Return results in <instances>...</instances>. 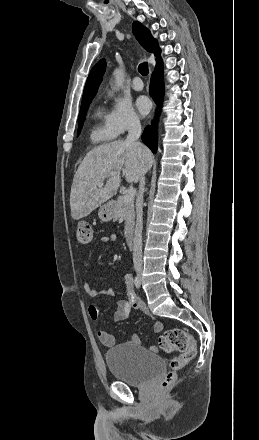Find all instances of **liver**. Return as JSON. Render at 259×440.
I'll return each instance as SVG.
<instances>
[{
	"instance_id": "obj_1",
	"label": "liver",
	"mask_w": 259,
	"mask_h": 440,
	"mask_svg": "<svg viewBox=\"0 0 259 440\" xmlns=\"http://www.w3.org/2000/svg\"><path fill=\"white\" fill-rule=\"evenodd\" d=\"M149 149L143 153L132 143L113 141L92 149L79 165L70 193L71 216L78 220L88 216L117 192L121 171L128 183H137L152 166ZM99 187L98 183L104 182Z\"/></svg>"
}]
</instances>
